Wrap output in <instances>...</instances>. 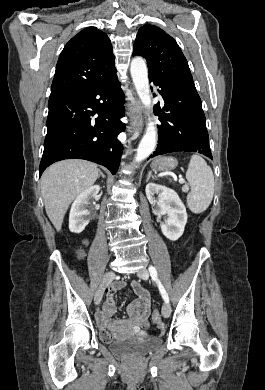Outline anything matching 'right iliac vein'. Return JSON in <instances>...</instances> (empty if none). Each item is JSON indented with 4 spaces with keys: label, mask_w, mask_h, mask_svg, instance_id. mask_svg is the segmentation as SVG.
Listing matches in <instances>:
<instances>
[{
    "label": "right iliac vein",
    "mask_w": 265,
    "mask_h": 390,
    "mask_svg": "<svg viewBox=\"0 0 265 390\" xmlns=\"http://www.w3.org/2000/svg\"><path fill=\"white\" fill-rule=\"evenodd\" d=\"M115 277V273L113 271H109L105 274L101 284H100V287L99 289L97 290L96 294H95V298H94V301H95V304L96 305H99L100 302H101V299H102V296H103V292H104V289L105 287L108 285V283Z\"/></svg>",
    "instance_id": "1"
}]
</instances>
